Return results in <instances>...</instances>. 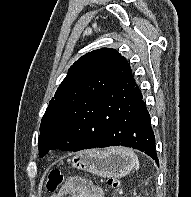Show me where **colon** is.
Segmentation results:
<instances>
[{"label": "colon", "mask_w": 191, "mask_h": 197, "mask_svg": "<svg viewBox=\"0 0 191 197\" xmlns=\"http://www.w3.org/2000/svg\"><path fill=\"white\" fill-rule=\"evenodd\" d=\"M64 179L62 171L58 169H54L50 171L48 174V179L46 183V188L49 192H56L59 188V186L62 184ZM109 185L113 187L118 186V181L116 179L110 178L108 180Z\"/></svg>", "instance_id": "obj_1"}]
</instances>
